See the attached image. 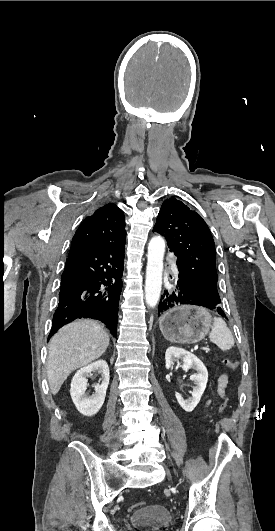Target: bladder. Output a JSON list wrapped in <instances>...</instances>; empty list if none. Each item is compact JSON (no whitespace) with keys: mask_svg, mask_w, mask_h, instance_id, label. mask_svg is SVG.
<instances>
[{"mask_svg":"<svg viewBox=\"0 0 275 531\" xmlns=\"http://www.w3.org/2000/svg\"><path fill=\"white\" fill-rule=\"evenodd\" d=\"M170 510L160 503L147 504L135 510L131 516L135 531H158V526L172 523Z\"/></svg>","mask_w":275,"mask_h":531,"instance_id":"obj_1","label":"bladder"}]
</instances>
